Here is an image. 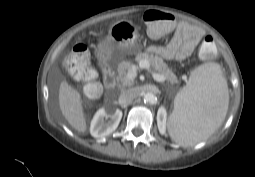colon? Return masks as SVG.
I'll return each mask as SVG.
<instances>
[{"label": "colon", "instance_id": "1", "mask_svg": "<svg viewBox=\"0 0 255 177\" xmlns=\"http://www.w3.org/2000/svg\"><path fill=\"white\" fill-rule=\"evenodd\" d=\"M144 21L148 34L152 38H160L175 25L173 15L157 10L147 11L144 14ZM199 53L205 59H213L216 56L217 47L212 36H206L203 39ZM63 67L69 74L84 82V91L87 96H98L100 86L96 81L97 73L91 65L90 55L86 45L82 43L76 45L64 59Z\"/></svg>", "mask_w": 255, "mask_h": 177}]
</instances>
